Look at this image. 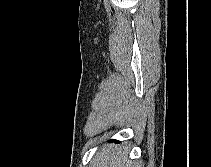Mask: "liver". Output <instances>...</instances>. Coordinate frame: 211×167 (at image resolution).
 Instances as JSON below:
<instances>
[{"instance_id": "liver-1", "label": "liver", "mask_w": 211, "mask_h": 167, "mask_svg": "<svg viewBox=\"0 0 211 167\" xmlns=\"http://www.w3.org/2000/svg\"><path fill=\"white\" fill-rule=\"evenodd\" d=\"M92 167H137L127 160V151L116 145L108 146L99 151L92 161Z\"/></svg>"}]
</instances>
